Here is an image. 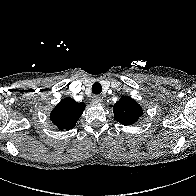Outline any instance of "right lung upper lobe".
<instances>
[{"instance_id": "cb5924a9", "label": "right lung upper lobe", "mask_w": 196, "mask_h": 196, "mask_svg": "<svg viewBox=\"0 0 196 196\" xmlns=\"http://www.w3.org/2000/svg\"><path fill=\"white\" fill-rule=\"evenodd\" d=\"M84 109V103H78L67 97L51 111L50 119L59 130H69L74 128Z\"/></svg>"}]
</instances>
